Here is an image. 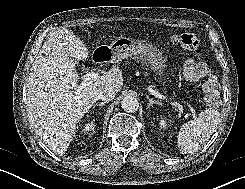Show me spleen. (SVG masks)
Segmentation results:
<instances>
[{"mask_svg":"<svg viewBox=\"0 0 245 189\" xmlns=\"http://www.w3.org/2000/svg\"><path fill=\"white\" fill-rule=\"evenodd\" d=\"M220 120L217 109H206L197 119L183 124L178 132L177 146L182 154L198 151L212 136Z\"/></svg>","mask_w":245,"mask_h":189,"instance_id":"1","label":"spleen"}]
</instances>
